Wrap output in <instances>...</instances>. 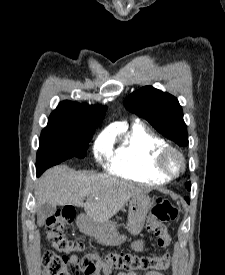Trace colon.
I'll return each mask as SVG.
<instances>
[{
  "instance_id": "1",
  "label": "colon",
  "mask_w": 225,
  "mask_h": 275,
  "mask_svg": "<svg viewBox=\"0 0 225 275\" xmlns=\"http://www.w3.org/2000/svg\"><path fill=\"white\" fill-rule=\"evenodd\" d=\"M178 207L167 199L158 198L147 221L146 229L149 234L157 239L159 247L168 249L171 237L165 226L167 222L177 218ZM75 216L72 208H63L58 214L51 216L46 225L48 242L59 252L47 251L43 256L45 275H78L83 265L71 262L62 252H81L85 244L81 241L68 239L64 230ZM101 259L112 269H121L131 272H150L167 270L171 263V255L168 250L160 256H138L124 252H110L102 254ZM92 269L85 268L89 273Z\"/></svg>"
}]
</instances>
